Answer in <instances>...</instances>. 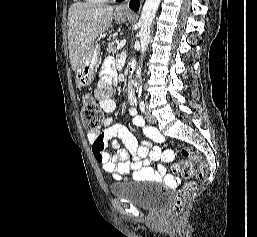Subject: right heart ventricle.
Returning <instances> with one entry per match:
<instances>
[{
  "mask_svg": "<svg viewBox=\"0 0 257 237\" xmlns=\"http://www.w3.org/2000/svg\"><path fill=\"white\" fill-rule=\"evenodd\" d=\"M89 4H101L106 0H85Z\"/></svg>",
  "mask_w": 257,
  "mask_h": 237,
  "instance_id": "right-heart-ventricle-1",
  "label": "right heart ventricle"
}]
</instances>
